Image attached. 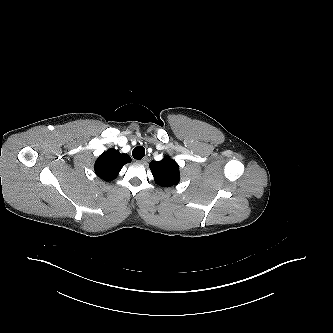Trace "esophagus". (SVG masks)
Segmentation results:
<instances>
[{
    "label": "esophagus",
    "mask_w": 333,
    "mask_h": 333,
    "mask_svg": "<svg viewBox=\"0 0 333 333\" xmlns=\"http://www.w3.org/2000/svg\"><path fill=\"white\" fill-rule=\"evenodd\" d=\"M140 163L146 164L148 162V157H144L141 160H139Z\"/></svg>",
    "instance_id": "34e87169"
}]
</instances>
